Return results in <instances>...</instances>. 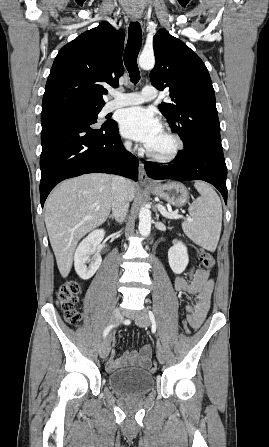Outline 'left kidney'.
Returning a JSON list of instances; mask_svg holds the SVG:
<instances>
[{"mask_svg": "<svg viewBox=\"0 0 269 447\" xmlns=\"http://www.w3.org/2000/svg\"><path fill=\"white\" fill-rule=\"evenodd\" d=\"M169 265L174 273H182L188 265L189 257L186 245L182 241L174 243L168 249Z\"/></svg>", "mask_w": 269, "mask_h": 447, "instance_id": "5707ae66", "label": "left kidney"}]
</instances>
